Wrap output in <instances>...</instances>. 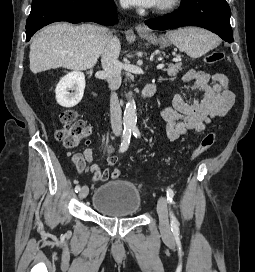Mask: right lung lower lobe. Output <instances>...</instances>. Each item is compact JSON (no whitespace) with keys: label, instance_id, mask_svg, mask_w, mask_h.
<instances>
[{"label":"right lung lower lobe","instance_id":"obj_1","mask_svg":"<svg viewBox=\"0 0 255 272\" xmlns=\"http://www.w3.org/2000/svg\"><path fill=\"white\" fill-rule=\"evenodd\" d=\"M57 21L112 25L117 22L116 7L113 0H33L26 22V41L40 28Z\"/></svg>","mask_w":255,"mask_h":272}]
</instances>
